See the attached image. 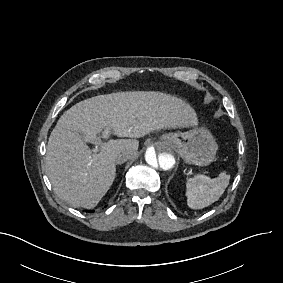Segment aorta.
Wrapping results in <instances>:
<instances>
[{"label": "aorta", "instance_id": "762f6f07", "mask_svg": "<svg viewBox=\"0 0 283 283\" xmlns=\"http://www.w3.org/2000/svg\"><path fill=\"white\" fill-rule=\"evenodd\" d=\"M145 160L149 170L157 176L166 175L176 166V156L173 149L161 141L154 142L147 148Z\"/></svg>", "mask_w": 283, "mask_h": 283}]
</instances>
